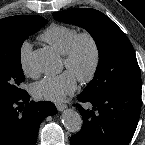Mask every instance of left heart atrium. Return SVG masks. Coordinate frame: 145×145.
Instances as JSON below:
<instances>
[{
    "label": "left heart atrium",
    "instance_id": "left-heart-atrium-1",
    "mask_svg": "<svg viewBox=\"0 0 145 145\" xmlns=\"http://www.w3.org/2000/svg\"><path fill=\"white\" fill-rule=\"evenodd\" d=\"M77 88V78L69 70L56 76H48L32 87L36 99L60 102Z\"/></svg>",
    "mask_w": 145,
    "mask_h": 145
}]
</instances>
